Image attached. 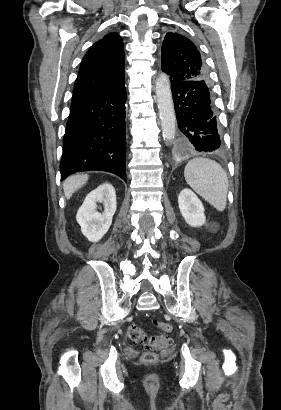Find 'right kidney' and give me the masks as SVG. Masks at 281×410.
Masks as SVG:
<instances>
[{
  "instance_id": "obj_1",
  "label": "right kidney",
  "mask_w": 281,
  "mask_h": 410,
  "mask_svg": "<svg viewBox=\"0 0 281 410\" xmlns=\"http://www.w3.org/2000/svg\"><path fill=\"white\" fill-rule=\"evenodd\" d=\"M103 203L104 211L99 213L97 204ZM116 193L110 183H103L92 190L79 208L76 220L81 226L83 235L91 242L99 241L112 224L116 211Z\"/></svg>"
}]
</instances>
